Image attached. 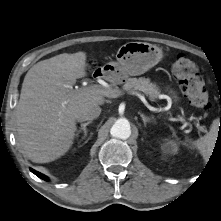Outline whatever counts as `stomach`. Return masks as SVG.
Here are the masks:
<instances>
[{"label": "stomach", "instance_id": "obj_1", "mask_svg": "<svg viewBox=\"0 0 221 221\" xmlns=\"http://www.w3.org/2000/svg\"><path fill=\"white\" fill-rule=\"evenodd\" d=\"M163 58L162 49L146 42H129L122 45L116 54V62L105 65V72L110 79L121 84L129 76H137L145 73ZM171 96L177 100L173 90H169Z\"/></svg>", "mask_w": 221, "mask_h": 221}]
</instances>
